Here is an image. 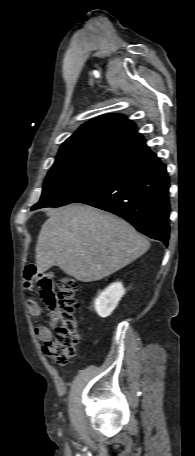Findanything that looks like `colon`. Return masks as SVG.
<instances>
[{
    "label": "colon",
    "instance_id": "colon-1",
    "mask_svg": "<svg viewBox=\"0 0 195 456\" xmlns=\"http://www.w3.org/2000/svg\"><path fill=\"white\" fill-rule=\"evenodd\" d=\"M80 288L78 282L69 275H62L57 281L56 304L59 325L55 338L43 346L44 353L58 365H66L73 358L81 340L80 334Z\"/></svg>",
    "mask_w": 195,
    "mask_h": 456
}]
</instances>
